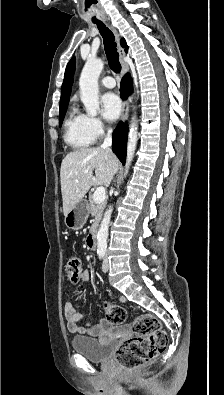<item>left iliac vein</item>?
Wrapping results in <instances>:
<instances>
[{
    "mask_svg": "<svg viewBox=\"0 0 224 395\" xmlns=\"http://www.w3.org/2000/svg\"><path fill=\"white\" fill-rule=\"evenodd\" d=\"M102 270L104 273L108 272V270H109V261H108L107 256L104 258Z\"/></svg>",
    "mask_w": 224,
    "mask_h": 395,
    "instance_id": "obj_1",
    "label": "left iliac vein"
}]
</instances>
